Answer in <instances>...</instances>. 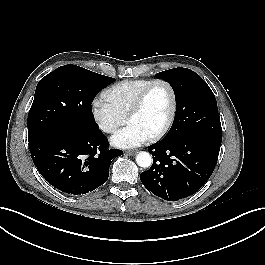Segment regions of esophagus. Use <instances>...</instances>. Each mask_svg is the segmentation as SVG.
Masks as SVG:
<instances>
[{
    "label": "esophagus",
    "instance_id": "esophagus-1",
    "mask_svg": "<svg viewBox=\"0 0 265 265\" xmlns=\"http://www.w3.org/2000/svg\"><path fill=\"white\" fill-rule=\"evenodd\" d=\"M136 153H137V151H133V150L132 151L129 150V151L124 152L125 155H129V156L135 155Z\"/></svg>",
    "mask_w": 265,
    "mask_h": 265
}]
</instances>
